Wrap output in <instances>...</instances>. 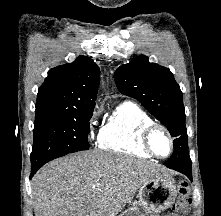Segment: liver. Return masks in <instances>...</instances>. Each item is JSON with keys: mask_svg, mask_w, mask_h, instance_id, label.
I'll return each mask as SVG.
<instances>
[{"mask_svg": "<svg viewBox=\"0 0 221 216\" xmlns=\"http://www.w3.org/2000/svg\"><path fill=\"white\" fill-rule=\"evenodd\" d=\"M162 166L99 150L78 152L44 165L32 179L35 216H116Z\"/></svg>", "mask_w": 221, "mask_h": 216, "instance_id": "6515ba94", "label": "liver"}]
</instances>
